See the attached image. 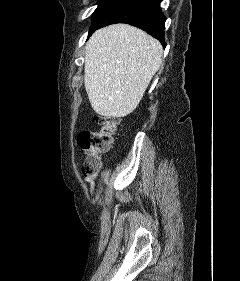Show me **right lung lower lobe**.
<instances>
[{
  "mask_svg": "<svg viewBox=\"0 0 240 281\" xmlns=\"http://www.w3.org/2000/svg\"><path fill=\"white\" fill-rule=\"evenodd\" d=\"M161 0H121L94 28L115 23H127L136 26L154 38L159 39L163 47L165 16L160 8Z\"/></svg>",
  "mask_w": 240,
  "mask_h": 281,
  "instance_id": "obj_1",
  "label": "right lung lower lobe"
}]
</instances>
